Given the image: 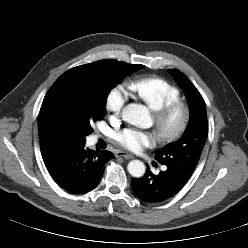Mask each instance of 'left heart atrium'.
<instances>
[{
    "label": "left heart atrium",
    "mask_w": 248,
    "mask_h": 248,
    "mask_svg": "<svg viewBox=\"0 0 248 248\" xmlns=\"http://www.w3.org/2000/svg\"><path fill=\"white\" fill-rule=\"evenodd\" d=\"M156 140L157 137L154 133L136 128H125L117 134L119 144L134 152L153 146Z\"/></svg>",
    "instance_id": "obj_1"
}]
</instances>
